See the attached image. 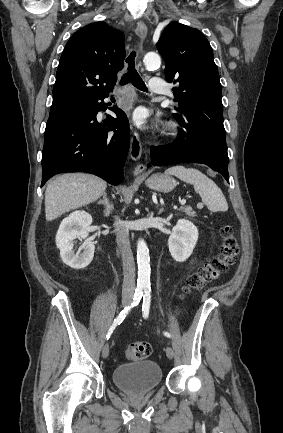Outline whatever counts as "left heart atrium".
Returning a JSON list of instances; mask_svg holds the SVG:
<instances>
[{
  "mask_svg": "<svg viewBox=\"0 0 283 433\" xmlns=\"http://www.w3.org/2000/svg\"><path fill=\"white\" fill-rule=\"evenodd\" d=\"M134 122L138 127L143 130H148L151 126L147 123L145 112L143 109L139 108L134 112L133 115Z\"/></svg>",
  "mask_w": 283,
  "mask_h": 433,
  "instance_id": "39dd6f15",
  "label": "left heart atrium"
}]
</instances>
